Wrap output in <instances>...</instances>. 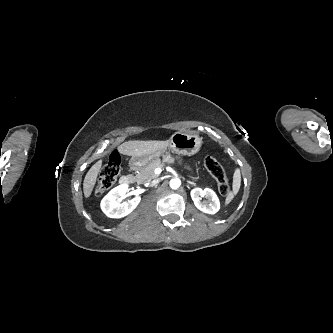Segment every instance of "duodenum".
Listing matches in <instances>:
<instances>
[{
  "instance_id": "1",
  "label": "duodenum",
  "mask_w": 333,
  "mask_h": 333,
  "mask_svg": "<svg viewBox=\"0 0 333 333\" xmlns=\"http://www.w3.org/2000/svg\"><path fill=\"white\" fill-rule=\"evenodd\" d=\"M134 180L133 175H124L120 178V183L121 184H129Z\"/></svg>"
}]
</instances>
